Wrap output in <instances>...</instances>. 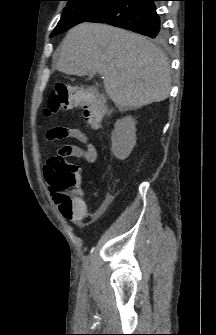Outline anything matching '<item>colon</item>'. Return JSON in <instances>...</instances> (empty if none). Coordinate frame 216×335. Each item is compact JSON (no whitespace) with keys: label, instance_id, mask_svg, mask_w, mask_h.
<instances>
[{"label":"colon","instance_id":"colon-1","mask_svg":"<svg viewBox=\"0 0 216 335\" xmlns=\"http://www.w3.org/2000/svg\"><path fill=\"white\" fill-rule=\"evenodd\" d=\"M77 106L84 108L86 120L91 126L99 127L105 115V106L89 88L83 86H56L48 96L43 112L45 116H50ZM70 154V148L65 145L48 161L51 165L49 185L57 193L56 200L65 216L81 207L73 198V192L82 184V179L79 168L65 161Z\"/></svg>","mask_w":216,"mask_h":335}]
</instances>
